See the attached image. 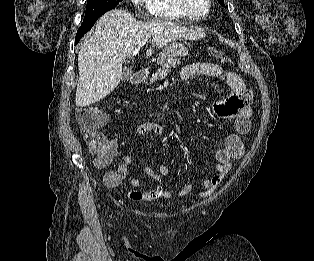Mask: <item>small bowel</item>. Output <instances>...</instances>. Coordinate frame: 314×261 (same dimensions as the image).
<instances>
[{
	"mask_svg": "<svg viewBox=\"0 0 314 261\" xmlns=\"http://www.w3.org/2000/svg\"><path fill=\"white\" fill-rule=\"evenodd\" d=\"M195 76H211L215 78H222L225 80L227 86L231 89L232 94L224 99L218 100L214 103L213 109L215 114L224 120H234L235 132L230 133L223 145L219 147L214 153V169L215 173L206 178L203 182V189L200 195L203 197L210 196L214 193L218 185L222 182L224 177L232 168V161L241 158L245 152L246 144L241 139L242 135H246L251 129V115H252V94L246 88L243 79L235 72L224 70L217 64L207 62H195L185 66L182 69L181 77L184 81H190ZM165 106L163 107V109ZM105 121V117H104ZM137 133L140 136H147L148 134L163 135L164 128L157 122H146L141 124ZM114 152L110 155L105 165H100L96 160V166L100 169L106 168L110 162L118 155V143L112 141ZM121 163L117 170L110 171L119 176L121 181L127 173L128 166L131 164V157L122 155L120 157ZM146 174L155 182H160L163 176L170 174V168L167 165L161 164L157 169L148 166L145 168ZM130 185L134 188H139L142 182L138 178H131ZM192 191L191 184H185L179 191L181 196H185ZM127 195L132 200H154L159 197L170 198L172 191L169 188L157 186L148 192H141L138 190H129Z\"/></svg>",
	"mask_w": 314,
	"mask_h": 261,
	"instance_id": "small-bowel-1",
	"label": "small bowel"
}]
</instances>
